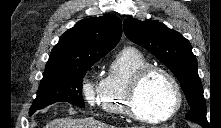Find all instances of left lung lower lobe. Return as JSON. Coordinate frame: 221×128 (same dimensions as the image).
Here are the masks:
<instances>
[{
	"label": "left lung lower lobe",
	"mask_w": 221,
	"mask_h": 128,
	"mask_svg": "<svg viewBox=\"0 0 221 128\" xmlns=\"http://www.w3.org/2000/svg\"><path fill=\"white\" fill-rule=\"evenodd\" d=\"M201 125L203 128H207L209 125L208 124H199Z\"/></svg>",
	"instance_id": "obj_1"
}]
</instances>
